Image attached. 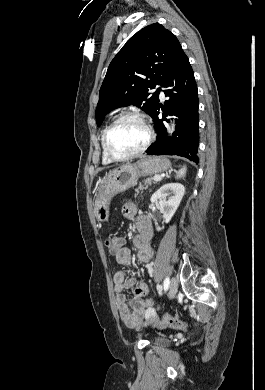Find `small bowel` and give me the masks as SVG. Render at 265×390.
Instances as JSON below:
<instances>
[{
    "instance_id": "obj_1",
    "label": "small bowel",
    "mask_w": 265,
    "mask_h": 390,
    "mask_svg": "<svg viewBox=\"0 0 265 390\" xmlns=\"http://www.w3.org/2000/svg\"><path fill=\"white\" fill-rule=\"evenodd\" d=\"M122 213L127 219H135L138 233L133 238V244L137 249L136 258L143 263H149L153 258L154 251L150 245L152 227L149 219L138 213L133 203H126ZM125 239L118 237V249L115 251V262L120 266H129L133 260L130 249L124 246ZM114 288L116 291V305L119 316L123 323L129 327H136L146 317L145 299L149 288L145 283L138 282L129 271L122 269L114 274ZM133 289L134 297L127 302L124 291Z\"/></svg>"
}]
</instances>
